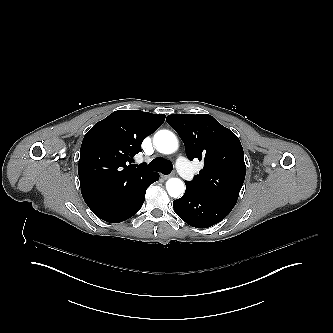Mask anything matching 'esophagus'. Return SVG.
Returning <instances> with one entry per match:
<instances>
[{
	"label": "esophagus",
	"instance_id": "esophagus-1",
	"mask_svg": "<svg viewBox=\"0 0 333 333\" xmlns=\"http://www.w3.org/2000/svg\"><path fill=\"white\" fill-rule=\"evenodd\" d=\"M161 177H162L164 180H166V179L170 178L171 175H161Z\"/></svg>",
	"mask_w": 333,
	"mask_h": 333
}]
</instances>
